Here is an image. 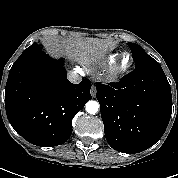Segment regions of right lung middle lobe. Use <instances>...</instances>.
Wrapping results in <instances>:
<instances>
[{"label":"right lung middle lobe","instance_id":"right-lung-middle-lobe-1","mask_svg":"<svg viewBox=\"0 0 178 178\" xmlns=\"http://www.w3.org/2000/svg\"><path fill=\"white\" fill-rule=\"evenodd\" d=\"M41 48L36 43H33L30 47L24 50L22 54H31L35 52H41Z\"/></svg>","mask_w":178,"mask_h":178}]
</instances>
